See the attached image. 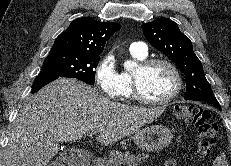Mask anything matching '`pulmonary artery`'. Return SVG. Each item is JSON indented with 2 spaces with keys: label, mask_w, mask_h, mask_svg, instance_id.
<instances>
[{
  "label": "pulmonary artery",
  "mask_w": 231,
  "mask_h": 166,
  "mask_svg": "<svg viewBox=\"0 0 231 166\" xmlns=\"http://www.w3.org/2000/svg\"><path fill=\"white\" fill-rule=\"evenodd\" d=\"M129 50L131 53H135L140 56H147L148 48L144 42H133L131 43Z\"/></svg>",
  "instance_id": "pulmonary-artery-1"
}]
</instances>
